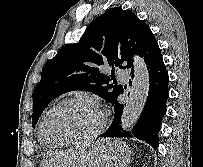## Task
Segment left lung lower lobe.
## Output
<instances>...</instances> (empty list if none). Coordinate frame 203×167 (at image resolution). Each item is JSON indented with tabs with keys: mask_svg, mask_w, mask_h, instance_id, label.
<instances>
[{
	"mask_svg": "<svg viewBox=\"0 0 203 167\" xmlns=\"http://www.w3.org/2000/svg\"><path fill=\"white\" fill-rule=\"evenodd\" d=\"M140 56L144 58L147 65L150 85L147 100L138 122L131 131L123 130L120 122L124 105L116 102L113 105L115 111L113 122L100 137H135L157 149L158 133L162 118L166 113V102L169 97V77L163 63L161 50L155 39L147 45ZM132 72L133 68L131 67L130 75L133 78Z\"/></svg>",
	"mask_w": 203,
	"mask_h": 167,
	"instance_id": "left-lung-lower-lobe-1",
	"label": "left lung lower lobe"
}]
</instances>
